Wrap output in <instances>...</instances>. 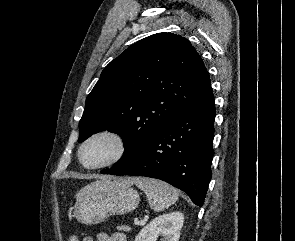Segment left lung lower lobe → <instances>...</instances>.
Here are the masks:
<instances>
[{"mask_svg":"<svg viewBox=\"0 0 295 241\" xmlns=\"http://www.w3.org/2000/svg\"><path fill=\"white\" fill-rule=\"evenodd\" d=\"M214 119L211 92L167 122L131 160L101 173L163 180L201 207L212 174Z\"/></svg>","mask_w":295,"mask_h":241,"instance_id":"1","label":"left lung lower lobe"}]
</instances>
